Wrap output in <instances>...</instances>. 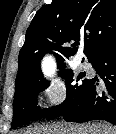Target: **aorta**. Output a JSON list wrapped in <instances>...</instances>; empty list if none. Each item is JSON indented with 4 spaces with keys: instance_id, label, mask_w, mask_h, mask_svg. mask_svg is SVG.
<instances>
[{
    "instance_id": "1",
    "label": "aorta",
    "mask_w": 116,
    "mask_h": 134,
    "mask_svg": "<svg viewBox=\"0 0 116 134\" xmlns=\"http://www.w3.org/2000/svg\"><path fill=\"white\" fill-rule=\"evenodd\" d=\"M43 71L47 76H51L54 73V63L51 59H46L44 61Z\"/></svg>"
}]
</instances>
